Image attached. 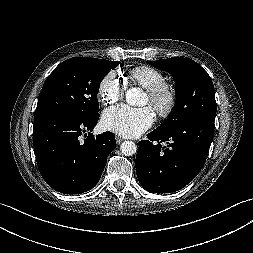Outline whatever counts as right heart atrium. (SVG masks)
Here are the masks:
<instances>
[{"label": "right heart atrium", "instance_id": "d8ad5b80", "mask_svg": "<svg viewBox=\"0 0 253 253\" xmlns=\"http://www.w3.org/2000/svg\"><path fill=\"white\" fill-rule=\"evenodd\" d=\"M125 89L124 79L118 73L111 71L103 77L99 84V100L104 105L115 104L123 98Z\"/></svg>", "mask_w": 253, "mask_h": 253}]
</instances>
